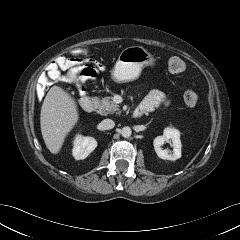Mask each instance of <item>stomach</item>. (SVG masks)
Instances as JSON below:
<instances>
[{"instance_id": "stomach-1", "label": "stomach", "mask_w": 240, "mask_h": 240, "mask_svg": "<svg viewBox=\"0 0 240 240\" xmlns=\"http://www.w3.org/2000/svg\"><path fill=\"white\" fill-rule=\"evenodd\" d=\"M154 65L155 59L146 49L130 46L120 53L112 71V78L118 83L129 82L137 79L143 68Z\"/></svg>"}]
</instances>
